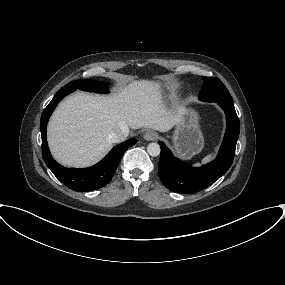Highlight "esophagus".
Segmentation results:
<instances>
[{
	"instance_id": "1",
	"label": "esophagus",
	"mask_w": 285,
	"mask_h": 285,
	"mask_svg": "<svg viewBox=\"0 0 285 285\" xmlns=\"http://www.w3.org/2000/svg\"><path fill=\"white\" fill-rule=\"evenodd\" d=\"M158 134L153 130H148L144 133L143 138L147 141H153L157 139Z\"/></svg>"
}]
</instances>
